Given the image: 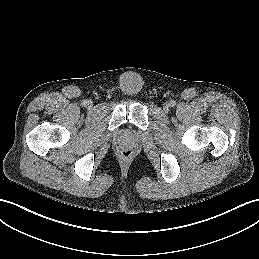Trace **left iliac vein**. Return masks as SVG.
<instances>
[{"label":"left iliac vein","instance_id":"left-iliac-vein-1","mask_svg":"<svg viewBox=\"0 0 259 259\" xmlns=\"http://www.w3.org/2000/svg\"><path fill=\"white\" fill-rule=\"evenodd\" d=\"M169 109H170V104H169V103H165V104L163 105V110H164L165 112H168Z\"/></svg>","mask_w":259,"mask_h":259}]
</instances>
